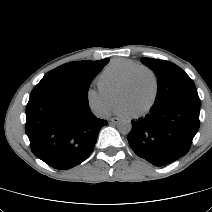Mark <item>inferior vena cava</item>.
<instances>
[{
	"label": "inferior vena cava",
	"mask_w": 212,
	"mask_h": 212,
	"mask_svg": "<svg viewBox=\"0 0 212 212\" xmlns=\"http://www.w3.org/2000/svg\"><path fill=\"white\" fill-rule=\"evenodd\" d=\"M100 117H105L104 113L99 114Z\"/></svg>",
	"instance_id": "inferior-vena-cava-1"
}]
</instances>
